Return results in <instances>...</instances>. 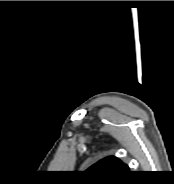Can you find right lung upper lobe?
<instances>
[{
    "mask_svg": "<svg viewBox=\"0 0 174 184\" xmlns=\"http://www.w3.org/2000/svg\"><path fill=\"white\" fill-rule=\"evenodd\" d=\"M87 172L100 177H115L129 172V168L118 158L110 156L98 161Z\"/></svg>",
    "mask_w": 174,
    "mask_h": 184,
    "instance_id": "right-lung-upper-lobe-1",
    "label": "right lung upper lobe"
}]
</instances>
